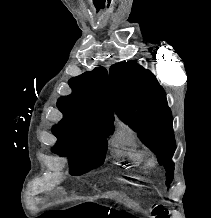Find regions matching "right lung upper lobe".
<instances>
[{
    "label": "right lung upper lobe",
    "instance_id": "1",
    "mask_svg": "<svg viewBox=\"0 0 211 218\" xmlns=\"http://www.w3.org/2000/svg\"><path fill=\"white\" fill-rule=\"evenodd\" d=\"M69 85L73 93L61 97L57 102L64 116L61 122L101 128L111 134L114 116L107 71L97 67L92 72L70 79Z\"/></svg>",
    "mask_w": 211,
    "mask_h": 218
}]
</instances>
